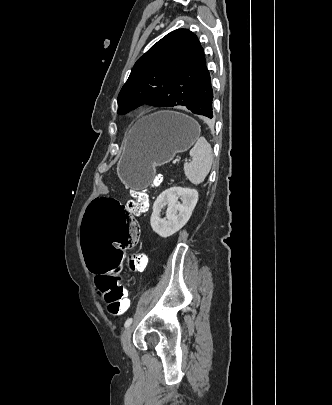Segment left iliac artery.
<instances>
[{
  "mask_svg": "<svg viewBox=\"0 0 332 405\" xmlns=\"http://www.w3.org/2000/svg\"><path fill=\"white\" fill-rule=\"evenodd\" d=\"M133 319L132 318H128L124 324V327L127 328L132 324Z\"/></svg>",
  "mask_w": 332,
  "mask_h": 405,
  "instance_id": "1",
  "label": "left iliac artery"
}]
</instances>
